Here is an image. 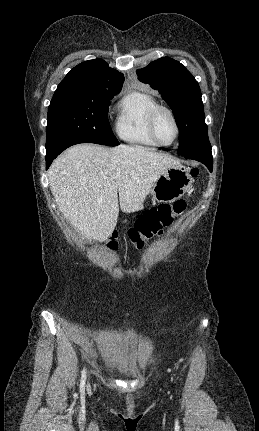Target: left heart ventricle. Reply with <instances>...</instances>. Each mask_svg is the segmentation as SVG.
Returning <instances> with one entry per match:
<instances>
[{
	"mask_svg": "<svg viewBox=\"0 0 259 431\" xmlns=\"http://www.w3.org/2000/svg\"><path fill=\"white\" fill-rule=\"evenodd\" d=\"M155 131L158 139L163 143L172 141L175 135V127L170 116L161 111L158 113L155 121Z\"/></svg>",
	"mask_w": 259,
	"mask_h": 431,
	"instance_id": "1",
	"label": "left heart ventricle"
}]
</instances>
